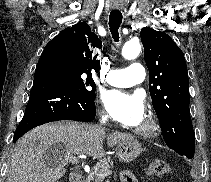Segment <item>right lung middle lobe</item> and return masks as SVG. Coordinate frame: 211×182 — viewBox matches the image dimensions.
Returning <instances> with one entry per match:
<instances>
[{"mask_svg":"<svg viewBox=\"0 0 211 182\" xmlns=\"http://www.w3.org/2000/svg\"><path fill=\"white\" fill-rule=\"evenodd\" d=\"M59 63L64 67L74 85L79 88L80 93L88 98L95 99V83L92 75L67 63Z\"/></svg>","mask_w":211,"mask_h":182,"instance_id":"right-lung-middle-lobe-1","label":"right lung middle lobe"}]
</instances>
